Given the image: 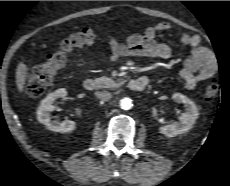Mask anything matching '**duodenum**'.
<instances>
[{
	"instance_id": "obj_1",
	"label": "duodenum",
	"mask_w": 230,
	"mask_h": 186,
	"mask_svg": "<svg viewBox=\"0 0 230 186\" xmlns=\"http://www.w3.org/2000/svg\"><path fill=\"white\" fill-rule=\"evenodd\" d=\"M149 81L146 77H140L136 79L128 80V87L132 91H142L146 88ZM83 87L87 91H94L97 87V83L94 79L88 78L83 82Z\"/></svg>"
}]
</instances>
